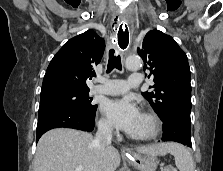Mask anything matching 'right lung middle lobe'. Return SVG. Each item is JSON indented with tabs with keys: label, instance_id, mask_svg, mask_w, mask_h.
Wrapping results in <instances>:
<instances>
[{
	"label": "right lung middle lobe",
	"instance_id": "1",
	"mask_svg": "<svg viewBox=\"0 0 223 171\" xmlns=\"http://www.w3.org/2000/svg\"><path fill=\"white\" fill-rule=\"evenodd\" d=\"M88 91H69L40 98L39 115L53 109L70 108L94 116L97 105L91 103Z\"/></svg>",
	"mask_w": 223,
	"mask_h": 171
}]
</instances>
